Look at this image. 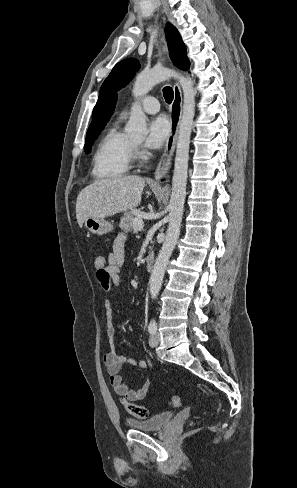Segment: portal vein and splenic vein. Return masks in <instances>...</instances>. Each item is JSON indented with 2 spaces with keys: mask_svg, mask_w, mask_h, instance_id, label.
Returning a JSON list of instances; mask_svg holds the SVG:
<instances>
[{
  "mask_svg": "<svg viewBox=\"0 0 297 488\" xmlns=\"http://www.w3.org/2000/svg\"><path fill=\"white\" fill-rule=\"evenodd\" d=\"M143 226H144V223H143L142 218H135L133 220V228L136 231L142 230L143 229Z\"/></svg>",
  "mask_w": 297,
  "mask_h": 488,
  "instance_id": "portal-vein-and-splenic-vein-1",
  "label": "portal vein and splenic vein"
}]
</instances>
